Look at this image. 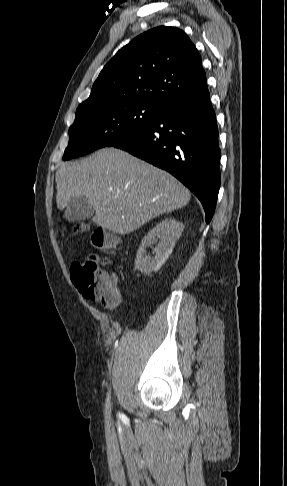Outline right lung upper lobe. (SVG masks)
I'll use <instances>...</instances> for the list:
<instances>
[{"label":"right lung upper lobe","instance_id":"obj_1","mask_svg":"<svg viewBox=\"0 0 287 486\" xmlns=\"http://www.w3.org/2000/svg\"><path fill=\"white\" fill-rule=\"evenodd\" d=\"M207 87L201 56L176 27L160 26L133 39L104 66L77 111L113 101L165 106Z\"/></svg>","mask_w":287,"mask_h":486}]
</instances>
